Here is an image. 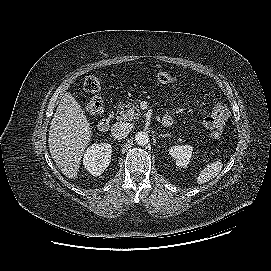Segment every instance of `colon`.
Returning <instances> with one entry per match:
<instances>
[{
	"label": "colon",
	"mask_w": 271,
	"mask_h": 271,
	"mask_svg": "<svg viewBox=\"0 0 271 271\" xmlns=\"http://www.w3.org/2000/svg\"><path fill=\"white\" fill-rule=\"evenodd\" d=\"M156 79L159 83L165 85H174L177 82V78L167 72L157 73ZM83 88L87 93L94 94L86 105V112L91 116L101 114L104 109V102L102 97L97 94L101 89L100 78L95 75L88 76L84 81ZM214 135L219 136V132H216Z\"/></svg>",
	"instance_id": "1"
}]
</instances>
